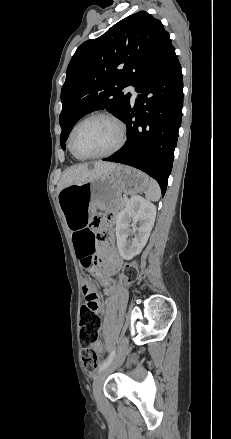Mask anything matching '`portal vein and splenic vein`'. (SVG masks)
<instances>
[{"mask_svg":"<svg viewBox=\"0 0 231 439\" xmlns=\"http://www.w3.org/2000/svg\"><path fill=\"white\" fill-rule=\"evenodd\" d=\"M124 199L127 200L128 198L125 196Z\"/></svg>","mask_w":231,"mask_h":439,"instance_id":"portal-vein-and-splenic-vein-1","label":"portal vein and splenic vein"}]
</instances>
